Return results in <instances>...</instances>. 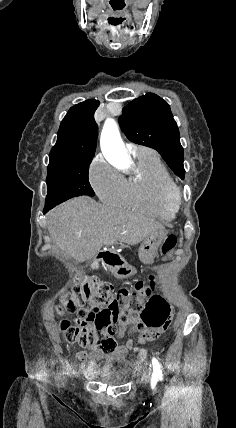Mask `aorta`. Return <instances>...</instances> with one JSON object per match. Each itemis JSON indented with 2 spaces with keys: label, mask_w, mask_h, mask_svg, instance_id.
<instances>
[{
  "label": "aorta",
  "mask_w": 236,
  "mask_h": 428,
  "mask_svg": "<svg viewBox=\"0 0 236 428\" xmlns=\"http://www.w3.org/2000/svg\"><path fill=\"white\" fill-rule=\"evenodd\" d=\"M101 149L104 156L121 166H129L130 160L117 126V123L108 118L102 129L100 139Z\"/></svg>",
  "instance_id": "obj_1"
}]
</instances>
